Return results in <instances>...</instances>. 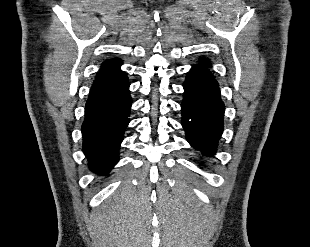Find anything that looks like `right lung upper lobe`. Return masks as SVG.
<instances>
[{
	"instance_id": "obj_1",
	"label": "right lung upper lobe",
	"mask_w": 310,
	"mask_h": 247,
	"mask_svg": "<svg viewBox=\"0 0 310 247\" xmlns=\"http://www.w3.org/2000/svg\"><path fill=\"white\" fill-rule=\"evenodd\" d=\"M120 59L107 60L103 63L92 86L121 83L127 81L126 74L120 69Z\"/></svg>"
}]
</instances>
